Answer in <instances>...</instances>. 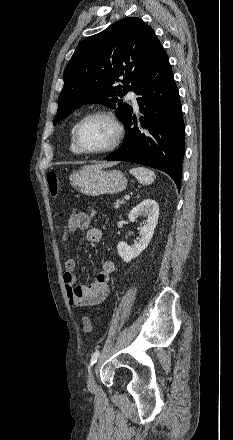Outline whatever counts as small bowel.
Listing matches in <instances>:
<instances>
[{"instance_id": "obj_1", "label": "small bowel", "mask_w": 233, "mask_h": 440, "mask_svg": "<svg viewBox=\"0 0 233 440\" xmlns=\"http://www.w3.org/2000/svg\"><path fill=\"white\" fill-rule=\"evenodd\" d=\"M97 213L95 209H88L87 212L72 211L64 226L63 241L67 242L76 230L87 229L86 241L91 244L98 243L102 237L101 230L95 227L89 228L90 222ZM76 265V260L72 257L65 260L63 280L69 304L73 307H86L102 303L110 291V275L114 271V263L111 260H105L90 284L78 286H75Z\"/></svg>"}]
</instances>
